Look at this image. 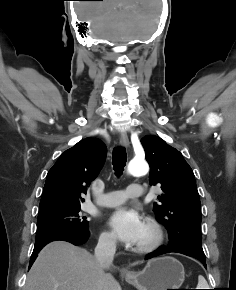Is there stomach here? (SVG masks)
<instances>
[{
  "mask_svg": "<svg viewBox=\"0 0 236 290\" xmlns=\"http://www.w3.org/2000/svg\"><path fill=\"white\" fill-rule=\"evenodd\" d=\"M184 279L182 263L170 256L149 260L142 271L125 275V280L138 290L179 289Z\"/></svg>",
  "mask_w": 236,
  "mask_h": 290,
  "instance_id": "0dacf381",
  "label": "stomach"
}]
</instances>
